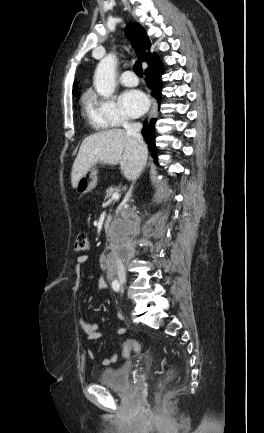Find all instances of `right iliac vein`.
<instances>
[{"mask_svg":"<svg viewBox=\"0 0 264 433\" xmlns=\"http://www.w3.org/2000/svg\"><path fill=\"white\" fill-rule=\"evenodd\" d=\"M120 281H121V283H125V282H126V280H125V279H121Z\"/></svg>","mask_w":264,"mask_h":433,"instance_id":"obj_1","label":"right iliac vein"}]
</instances>
